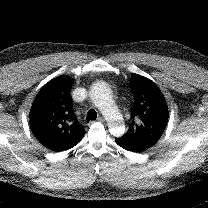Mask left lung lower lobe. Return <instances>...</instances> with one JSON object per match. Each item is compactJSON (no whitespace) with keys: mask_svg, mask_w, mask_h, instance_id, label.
<instances>
[{"mask_svg":"<svg viewBox=\"0 0 208 208\" xmlns=\"http://www.w3.org/2000/svg\"><path fill=\"white\" fill-rule=\"evenodd\" d=\"M116 143L122 147L123 149L131 152H142L146 150V148L139 146L137 144H134L132 142H129L127 140H124L122 138H115Z\"/></svg>","mask_w":208,"mask_h":208,"instance_id":"left-lung-lower-lobe-1","label":"left lung lower lobe"}]
</instances>
